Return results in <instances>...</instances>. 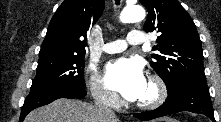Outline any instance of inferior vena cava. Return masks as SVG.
<instances>
[{
	"label": "inferior vena cava",
	"mask_w": 221,
	"mask_h": 122,
	"mask_svg": "<svg viewBox=\"0 0 221 122\" xmlns=\"http://www.w3.org/2000/svg\"><path fill=\"white\" fill-rule=\"evenodd\" d=\"M95 94L97 95L95 105L98 108L101 115L106 118H116L114 111L103 102V98L105 96L103 91L97 89L95 91Z\"/></svg>",
	"instance_id": "1"
}]
</instances>
